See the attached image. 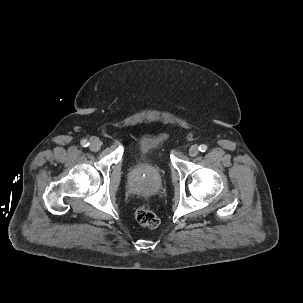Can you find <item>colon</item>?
Returning <instances> with one entry per match:
<instances>
[{"label":"colon","instance_id":"colon-1","mask_svg":"<svg viewBox=\"0 0 303 303\" xmlns=\"http://www.w3.org/2000/svg\"><path fill=\"white\" fill-rule=\"evenodd\" d=\"M135 217L141 226L155 228L159 225L158 216L147 206L138 208Z\"/></svg>","mask_w":303,"mask_h":303}]
</instances>
